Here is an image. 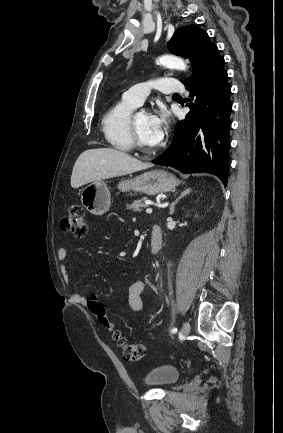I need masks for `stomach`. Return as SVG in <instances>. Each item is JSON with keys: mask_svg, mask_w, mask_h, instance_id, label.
Masks as SVG:
<instances>
[{"mask_svg": "<svg viewBox=\"0 0 283 433\" xmlns=\"http://www.w3.org/2000/svg\"><path fill=\"white\" fill-rule=\"evenodd\" d=\"M178 180L166 170H149L129 180H121L118 184L120 190H138L146 194L169 192L177 186ZM81 202L92 214H104L111 204L109 188L103 180H93L81 192Z\"/></svg>", "mask_w": 283, "mask_h": 433, "instance_id": "1", "label": "stomach"}]
</instances>
